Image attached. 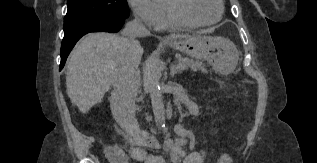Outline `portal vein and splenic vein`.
I'll list each match as a JSON object with an SVG mask.
<instances>
[{
	"label": "portal vein and splenic vein",
	"mask_w": 317,
	"mask_h": 163,
	"mask_svg": "<svg viewBox=\"0 0 317 163\" xmlns=\"http://www.w3.org/2000/svg\"><path fill=\"white\" fill-rule=\"evenodd\" d=\"M177 68L181 69V70L184 69V67L182 65H179V64L177 65Z\"/></svg>",
	"instance_id": "obj_1"
}]
</instances>
